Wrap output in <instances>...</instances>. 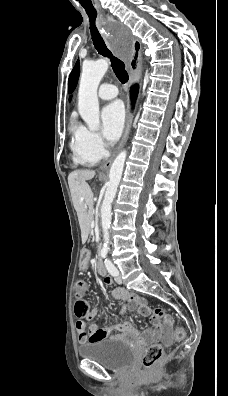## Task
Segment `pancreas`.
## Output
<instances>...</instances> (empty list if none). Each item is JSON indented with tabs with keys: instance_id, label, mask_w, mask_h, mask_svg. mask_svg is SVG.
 <instances>
[{
	"instance_id": "pancreas-1",
	"label": "pancreas",
	"mask_w": 228,
	"mask_h": 396,
	"mask_svg": "<svg viewBox=\"0 0 228 396\" xmlns=\"http://www.w3.org/2000/svg\"><path fill=\"white\" fill-rule=\"evenodd\" d=\"M90 219H91V220H94V219H95V216H94V215H91V216H90ZM90 229H91V228H90ZM89 234H90L89 236L91 237V236H92V235H91L92 233L90 232ZM90 237L88 238L89 241L91 240ZM89 241H88V242H89Z\"/></svg>"
}]
</instances>
